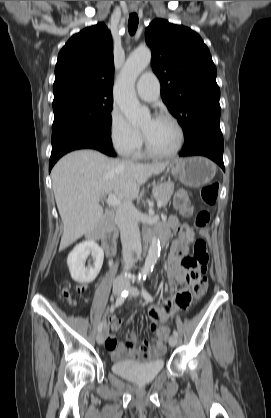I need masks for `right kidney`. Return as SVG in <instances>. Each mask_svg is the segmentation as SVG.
Listing matches in <instances>:
<instances>
[{
	"instance_id": "obj_1",
	"label": "right kidney",
	"mask_w": 271,
	"mask_h": 418,
	"mask_svg": "<svg viewBox=\"0 0 271 418\" xmlns=\"http://www.w3.org/2000/svg\"><path fill=\"white\" fill-rule=\"evenodd\" d=\"M90 254L94 259V263L85 267V261ZM103 260V250L95 241L87 240L77 244L67 258V265L72 279L78 283L92 282L98 276Z\"/></svg>"
}]
</instances>
